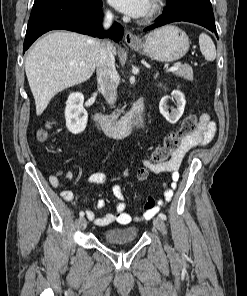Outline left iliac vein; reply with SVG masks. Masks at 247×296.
I'll use <instances>...</instances> for the list:
<instances>
[{
  "label": "left iliac vein",
  "instance_id": "left-iliac-vein-1",
  "mask_svg": "<svg viewBox=\"0 0 247 296\" xmlns=\"http://www.w3.org/2000/svg\"><path fill=\"white\" fill-rule=\"evenodd\" d=\"M154 226L163 233V235H166L167 230H166V225L165 222L161 218H155L153 220Z\"/></svg>",
  "mask_w": 247,
  "mask_h": 296
}]
</instances>
